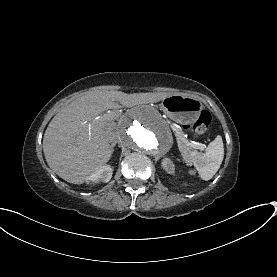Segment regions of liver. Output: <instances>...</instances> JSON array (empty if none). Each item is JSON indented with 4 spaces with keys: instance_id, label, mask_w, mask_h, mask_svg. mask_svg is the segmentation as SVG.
I'll return each mask as SVG.
<instances>
[{
    "instance_id": "liver-1",
    "label": "liver",
    "mask_w": 277,
    "mask_h": 277,
    "mask_svg": "<svg viewBox=\"0 0 277 277\" xmlns=\"http://www.w3.org/2000/svg\"><path fill=\"white\" fill-rule=\"evenodd\" d=\"M168 93L121 91L87 92L61 109L50 121L43 138V152L49 167L62 179L82 184L112 153L111 143L121 138L111 115L97 116L108 109L156 103ZM122 119L118 123L120 128Z\"/></svg>"
}]
</instances>
